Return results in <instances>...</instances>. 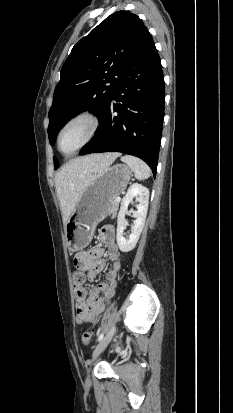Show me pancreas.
Masks as SVG:
<instances>
[{
	"mask_svg": "<svg viewBox=\"0 0 233 413\" xmlns=\"http://www.w3.org/2000/svg\"><path fill=\"white\" fill-rule=\"evenodd\" d=\"M118 206H119V203L116 202L115 200L110 201L109 208H108L109 214H112L113 216H115L118 210Z\"/></svg>",
	"mask_w": 233,
	"mask_h": 413,
	"instance_id": "pancreas-1",
	"label": "pancreas"
}]
</instances>
